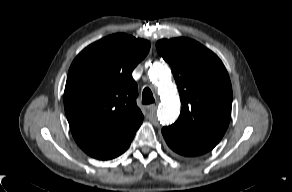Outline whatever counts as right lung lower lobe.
I'll use <instances>...</instances> for the list:
<instances>
[{
    "mask_svg": "<svg viewBox=\"0 0 292 192\" xmlns=\"http://www.w3.org/2000/svg\"><path fill=\"white\" fill-rule=\"evenodd\" d=\"M137 129H135L134 131L127 135H124L113 140L103 142L84 141L79 142L77 144L84 152H86L88 155L95 159L99 160L113 159L126 151Z\"/></svg>",
    "mask_w": 292,
    "mask_h": 192,
    "instance_id": "right-lung-lower-lobe-1",
    "label": "right lung lower lobe"
}]
</instances>
